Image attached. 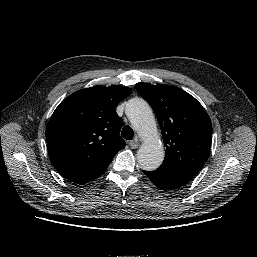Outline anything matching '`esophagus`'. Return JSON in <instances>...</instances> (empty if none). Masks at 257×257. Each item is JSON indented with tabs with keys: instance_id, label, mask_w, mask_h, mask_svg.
Here are the masks:
<instances>
[{
	"instance_id": "1",
	"label": "esophagus",
	"mask_w": 257,
	"mask_h": 257,
	"mask_svg": "<svg viewBox=\"0 0 257 257\" xmlns=\"http://www.w3.org/2000/svg\"><path fill=\"white\" fill-rule=\"evenodd\" d=\"M129 145H130V147H131L132 149H136V148H138V146H139V142H138L137 139H135V140L131 141V142L129 143Z\"/></svg>"
}]
</instances>
